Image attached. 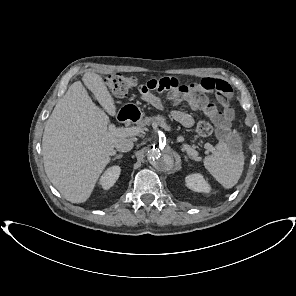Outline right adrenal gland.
<instances>
[{"instance_id":"1","label":"right adrenal gland","mask_w":296,"mask_h":296,"mask_svg":"<svg viewBox=\"0 0 296 296\" xmlns=\"http://www.w3.org/2000/svg\"><path fill=\"white\" fill-rule=\"evenodd\" d=\"M122 157H123V154L115 155V157L112 158V161H115L117 159H121Z\"/></svg>"}]
</instances>
